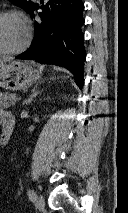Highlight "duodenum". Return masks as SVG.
Listing matches in <instances>:
<instances>
[{
	"instance_id": "duodenum-1",
	"label": "duodenum",
	"mask_w": 128,
	"mask_h": 213,
	"mask_svg": "<svg viewBox=\"0 0 128 213\" xmlns=\"http://www.w3.org/2000/svg\"><path fill=\"white\" fill-rule=\"evenodd\" d=\"M2 132L0 134V145L6 146L11 140L15 128V117L8 113L2 120Z\"/></svg>"
}]
</instances>
